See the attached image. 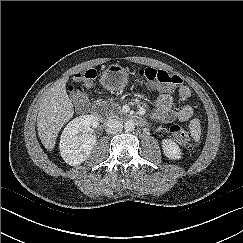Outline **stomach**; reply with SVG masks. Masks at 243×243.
I'll use <instances>...</instances> for the list:
<instances>
[{"label":"stomach","instance_id":"obj_1","mask_svg":"<svg viewBox=\"0 0 243 243\" xmlns=\"http://www.w3.org/2000/svg\"><path fill=\"white\" fill-rule=\"evenodd\" d=\"M100 83L107 90L120 91L128 84V71L119 64H111L103 70Z\"/></svg>","mask_w":243,"mask_h":243}]
</instances>
